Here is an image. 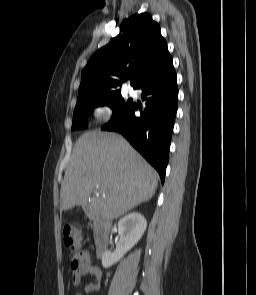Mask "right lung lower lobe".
Masks as SVG:
<instances>
[{
    "label": "right lung lower lobe",
    "mask_w": 256,
    "mask_h": 295,
    "mask_svg": "<svg viewBox=\"0 0 256 295\" xmlns=\"http://www.w3.org/2000/svg\"><path fill=\"white\" fill-rule=\"evenodd\" d=\"M136 89L142 90V99L146 100L141 116H135L138 107L131 103L122 114L102 126V130L121 133L158 171L163 183L178 106L172 57L146 74Z\"/></svg>",
    "instance_id": "obj_1"
}]
</instances>
